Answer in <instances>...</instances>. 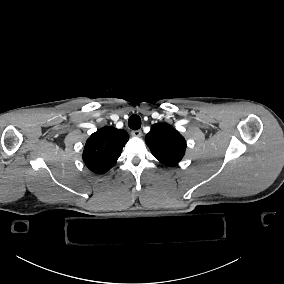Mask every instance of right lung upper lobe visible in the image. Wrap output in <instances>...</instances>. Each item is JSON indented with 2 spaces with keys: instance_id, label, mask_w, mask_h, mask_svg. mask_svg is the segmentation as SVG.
<instances>
[{
  "instance_id": "obj_1",
  "label": "right lung upper lobe",
  "mask_w": 284,
  "mask_h": 284,
  "mask_svg": "<svg viewBox=\"0 0 284 284\" xmlns=\"http://www.w3.org/2000/svg\"><path fill=\"white\" fill-rule=\"evenodd\" d=\"M128 139L129 135L125 130L103 127L86 141L83 161L92 172L106 173L116 164Z\"/></svg>"
}]
</instances>
